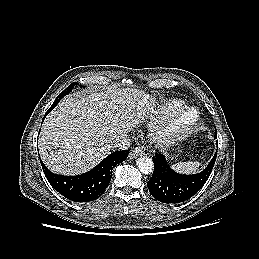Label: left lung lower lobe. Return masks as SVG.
<instances>
[{"instance_id":"1","label":"left lung lower lobe","mask_w":259,"mask_h":259,"mask_svg":"<svg viewBox=\"0 0 259 259\" xmlns=\"http://www.w3.org/2000/svg\"><path fill=\"white\" fill-rule=\"evenodd\" d=\"M215 138H217V134H215ZM216 156L217 152L201 173L183 175L171 169L163 154L156 153L153 158V175L147 183L150 194L163 203H180L191 198L209 178Z\"/></svg>"}]
</instances>
